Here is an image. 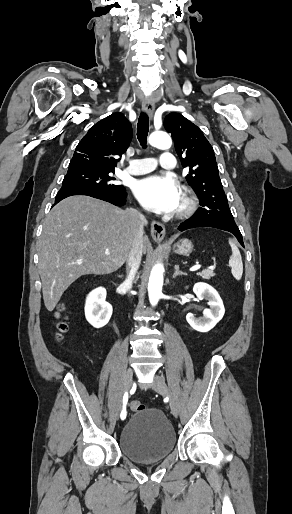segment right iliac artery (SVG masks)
Returning <instances> with one entry per match:
<instances>
[{
	"label": "right iliac artery",
	"mask_w": 292,
	"mask_h": 514,
	"mask_svg": "<svg viewBox=\"0 0 292 514\" xmlns=\"http://www.w3.org/2000/svg\"><path fill=\"white\" fill-rule=\"evenodd\" d=\"M127 402H128V393L125 392V394L123 396V408H122L121 415H120L122 420H124L126 418V415H127V412H126Z\"/></svg>",
	"instance_id": "right-iliac-artery-1"
}]
</instances>
